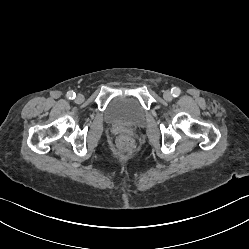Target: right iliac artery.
<instances>
[{"instance_id":"obj_1","label":"right iliac artery","mask_w":249,"mask_h":249,"mask_svg":"<svg viewBox=\"0 0 249 249\" xmlns=\"http://www.w3.org/2000/svg\"><path fill=\"white\" fill-rule=\"evenodd\" d=\"M67 97H68L69 99H74V98L76 97V94H75L73 91H69V92L67 93Z\"/></svg>"}]
</instances>
